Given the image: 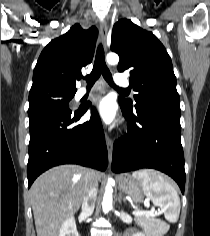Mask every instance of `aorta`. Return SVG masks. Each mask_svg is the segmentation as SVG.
Wrapping results in <instances>:
<instances>
[{
    "instance_id": "aorta-1",
    "label": "aorta",
    "mask_w": 210,
    "mask_h": 236,
    "mask_svg": "<svg viewBox=\"0 0 210 236\" xmlns=\"http://www.w3.org/2000/svg\"><path fill=\"white\" fill-rule=\"evenodd\" d=\"M106 60L111 65H116L119 62V56L116 53H109L106 57ZM113 182L112 178H108V182L105 188V193L103 196L102 208L103 212L106 214L112 208V201H113V188L111 186Z\"/></svg>"
}]
</instances>
